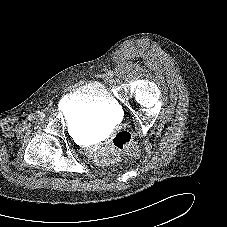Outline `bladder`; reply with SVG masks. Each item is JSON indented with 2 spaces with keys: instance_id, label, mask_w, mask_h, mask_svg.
I'll use <instances>...</instances> for the list:
<instances>
[{
  "instance_id": "1",
  "label": "bladder",
  "mask_w": 227,
  "mask_h": 227,
  "mask_svg": "<svg viewBox=\"0 0 227 227\" xmlns=\"http://www.w3.org/2000/svg\"><path fill=\"white\" fill-rule=\"evenodd\" d=\"M62 109L80 129L112 126L121 114L118 101L101 82L87 83L66 94Z\"/></svg>"
}]
</instances>
